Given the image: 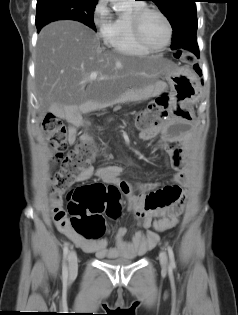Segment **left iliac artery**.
Segmentation results:
<instances>
[{"instance_id":"left-iliac-artery-1","label":"left iliac artery","mask_w":238,"mask_h":315,"mask_svg":"<svg viewBox=\"0 0 238 315\" xmlns=\"http://www.w3.org/2000/svg\"><path fill=\"white\" fill-rule=\"evenodd\" d=\"M167 251H168L169 260H170V268L175 269L176 263H175L174 252H173V249L170 245H167Z\"/></svg>"}]
</instances>
